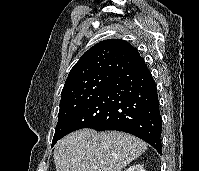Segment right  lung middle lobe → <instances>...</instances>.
I'll use <instances>...</instances> for the list:
<instances>
[{
    "mask_svg": "<svg viewBox=\"0 0 199 171\" xmlns=\"http://www.w3.org/2000/svg\"><path fill=\"white\" fill-rule=\"evenodd\" d=\"M113 77L114 75L109 74L96 75L62 93L58 114L59 119L55 128L52 147L62 137L65 128L81 109V107Z\"/></svg>",
    "mask_w": 199,
    "mask_h": 171,
    "instance_id": "dd1d6c3e",
    "label": "right lung middle lobe"
}]
</instances>
